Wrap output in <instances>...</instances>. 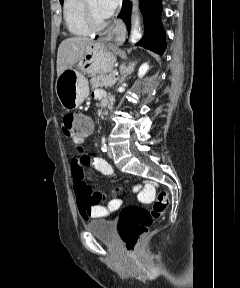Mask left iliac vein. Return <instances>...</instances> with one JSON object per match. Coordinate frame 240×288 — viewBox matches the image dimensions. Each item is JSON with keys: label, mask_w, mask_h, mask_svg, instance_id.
<instances>
[{"label": "left iliac vein", "mask_w": 240, "mask_h": 288, "mask_svg": "<svg viewBox=\"0 0 240 288\" xmlns=\"http://www.w3.org/2000/svg\"><path fill=\"white\" fill-rule=\"evenodd\" d=\"M107 155L109 158H113V152L111 149H108Z\"/></svg>", "instance_id": "obj_1"}]
</instances>
